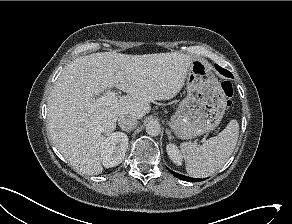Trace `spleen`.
Segmentation results:
<instances>
[{
    "instance_id": "spleen-1",
    "label": "spleen",
    "mask_w": 292,
    "mask_h": 224,
    "mask_svg": "<svg viewBox=\"0 0 292 224\" xmlns=\"http://www.w3.org/2000/svg\"><path fill=\"white\" fill-rule=\"evenodd\" d=\"M239 137V124L231 120L217 136L203 145L184 142L180 145L189 176L204 178L221 169L233 153Z\"/></svg>"
}]
</instances>
